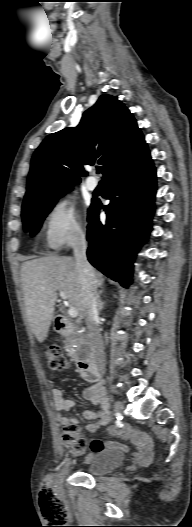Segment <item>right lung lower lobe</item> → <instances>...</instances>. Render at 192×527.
<instances>
[{"label": "right lung lower lobe", "mask_w": 192, "mask_h": 527, "mask_svg": "<svg viewBox=\"0 0 192 527\" xmlns=\"http://www.w3.org/2000/svg\"><path fill=\"white\" fill-rule=\"evenodd\" d=\"M110 203L93 201L88 211L87 257L107 277L128 286L133 260L150 232L156 170L144 142L103 179ZM107 214L105 224L99 210Z\"/></svg>", "instance_id": "right-lung-lower-lobe-1"}]
</instances>
